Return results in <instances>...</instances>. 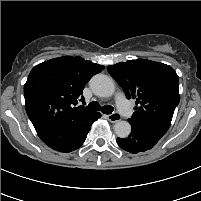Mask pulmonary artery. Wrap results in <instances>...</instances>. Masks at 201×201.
I'll return each instance as SVG.
<instances>
[{"label":"pulmonary artery","mask_w":201,"mask_h":201,"mask_svg":"<svg viewBox=\"0 0 201 201\" xmlns=\"http://www.w3.org/2000/svg\"><path fill=\"white\" fill-rule=\"evenodd\" d=\"M116 103H117V107H118L119 112L123 116H125L127 118L131 117L132 109H131L127 99L125 98V96L122 93L118 94L117 99H116Z\"/></svg>","instance_id":"e3ab8cb5"}]
</instances>
